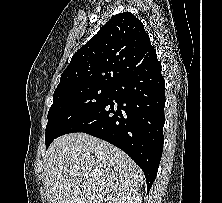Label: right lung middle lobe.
<instances>
[{
    "mask_svg": "<svg viewBox=\"0 0 222 203\" xmlns=\"http://www.w3.org/2000/svg\"><path fill=\"white\" fill-rule=\"evenodd\" d=\"M110 92L111 87L98 85H83L55 91L47 116L46 148L65 128L102 105Z\"/></svg>",
    "mask_w": 222,
    "mask_h": 203,
    "instance_id": "obj_1",
    "label": "right lung middle lobe"
}]
</instances>
